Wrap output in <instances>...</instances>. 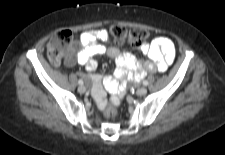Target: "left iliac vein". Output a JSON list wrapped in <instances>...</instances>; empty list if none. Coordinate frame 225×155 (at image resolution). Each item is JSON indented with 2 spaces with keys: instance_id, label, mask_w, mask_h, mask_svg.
I'll return each mask as SVG.
<instances>
[{
  "instance_id": "4c4485c4",
  "label": "left iliac vein",
  "mask_w": 225,
  "mask_h": 155,
  "mask_svg": "<svg viewBox=\"0 0 225 155\" xmlns=\"http://www.w3.org/2000/svg\"><path fill=\"white\" fill-rule=\"evenodd\" d=\"M147 94V89L145 87H141L137 90V95L144 96Z\"/></svg>"
}]
</instances>
